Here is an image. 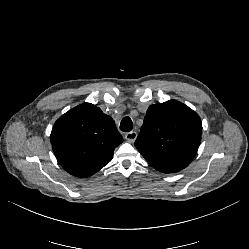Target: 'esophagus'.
Returning <instances> with one entry per match:
<instances>
[{"label": "esophagus", "mask_w": 249, "mask_h": 249, "mask_svg": "<svg viewBox=\"0 0 249 249\" xmlns=\"http://www.w3.org/2000/svg\"><path fill=\"white\" fill-rule=\"evenodd\" d=\"M138 134L136 131H131L127 132L124 136V138L129 142V143H134Z\"/></svg>", "instance_id": "obj_1"}]
</instances>
